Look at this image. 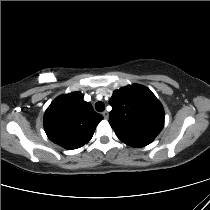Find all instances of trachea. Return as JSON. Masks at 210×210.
<instances>
[{
	"label": "trachea",
	"instance_id": "trachea-1",
	"mask_svg": "<svg viewBox=\"0 0 210 210\" xmlns=\"http://www.w3.org/2000/svg\"><path fill=\"white\" fill-rule=\"evenodd\" d=\"M95 109L98 111V112H102L104 111L105 109V104L103 102H97L95 104Z\"/></svg>",
	"mask_w": 210,
	"mask_h": 210
}]
</instances>
